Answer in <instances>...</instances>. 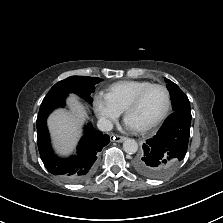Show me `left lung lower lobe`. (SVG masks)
Segmentation results:
<instances>
[{
    "mask_svg": "<svg viewBox=\"0 0 223 223\" xmlns=\"http://www.w3.org/2000/svg\"><path fill=\"white\" fill-rule=\"evenodd\" d=\"M191 114L175 111L157 134L143 144L133 166L141 175L161 179L171 174L185 157L190 136Z\"/></svg>",
    "mask_w": 223,
    "mask_h": 223,
    "instance_id": "obj_1",
    "label": "left lung lower lobe"
}]
</instances>
